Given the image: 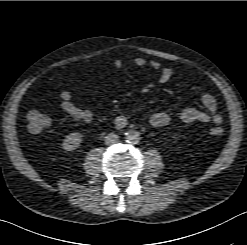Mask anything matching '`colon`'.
<instances>
[{
	"mask_svg": "<svg viewBox=\"0 0 247 245\" xmlns=\"http://www.w3.org/2000/svg\"><path fill=\"white\" fill-rule=\"evenodd\" d=\"M28 129L33 134L42 132L49 125L48 117L38 110H30L27 114ZM213 135H221L223 133L222 126H214L211 128Z\"/></svg>",
	"mask_w": 247,
	"mask_h": 245,
	"instance_id": "colon-1",
	"label": "colon"
}]
</instances>
